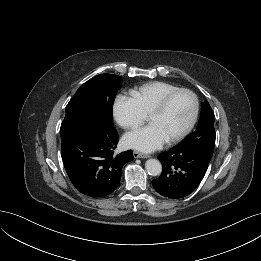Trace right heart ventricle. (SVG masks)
<instances>
[{
	"label": "right heart ventricle",
	"mask_w": 261,
	"mask_h": 261,
	"mask_svg": "<svg viewBox=\"0 0 261 261\" xmlns=\"http://www.w3.org/2000/svg\"><path fill=\"white\" fill-rule=\"evenodd\" d=\"M178 86L163 82L154 81L147 83L132 91V95L138 102L145 115L149 113L171 92L176 91Z\"/></svg>",
	"instance_id": "obj_1"
}]
</instances>
